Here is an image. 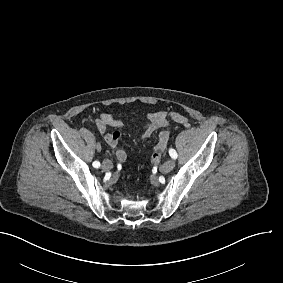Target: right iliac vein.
Returning <instances> with one entry per match:
<instances>
[{"label":"right iliac vein","instance_id":"63e3f726","mask_svg":"<svg viewBox=\"0 0 283 283\" xmlns=\"http://www.w3.org/2000/svg\"><path fill=\"white\" fill-rule=\"evenodd\" d=\"M102 169L103 170H110V169H112V167H113V164L111 163V161H109V160H104L103 162H102Z\"/></svg>","mask_w":283,"mask_h":283}]
</instances>
